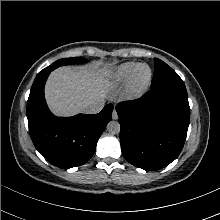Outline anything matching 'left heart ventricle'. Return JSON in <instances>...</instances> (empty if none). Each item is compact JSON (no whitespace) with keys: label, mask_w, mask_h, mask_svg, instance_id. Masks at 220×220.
Listing matches in <instances>:
<instances>
[{"label":"left heart ventricle","mask_w":220,"mask_h":220,"mask_svg":"<svg viewBox=\"0 0 220 220\" xmlns=\"http://www.w3.org/2000/svg\"><path fill=\"white\" fill-rule=\"evenodd\" d=\"M147 74V69L146 68H142L141 70H140V75L141 76H145Z\"/></svg>","instance_id":"left-heart-ventricle-1"}]
</instances>
